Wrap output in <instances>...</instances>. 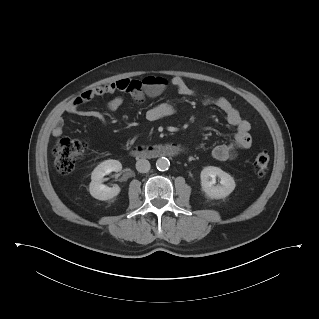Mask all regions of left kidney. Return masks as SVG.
<instances>
[{"label": "left kidney", "instance_id": "left-kidney-1", "mask_svg": "<svg viewBox=\"0 0 319 319\" xmlns=\"http://www.w3.org/2000/svg\"><path fill=\"white\" fill-rule=\"evenodd\" d=\"M216 177L220 179V185H215ZM200 178L202 190L213 199L225 198L235 188L233 177L218 167H205L201 171Z\"/></svg>", "mask_w": 319, "mask_h": 319}]
</instances>
